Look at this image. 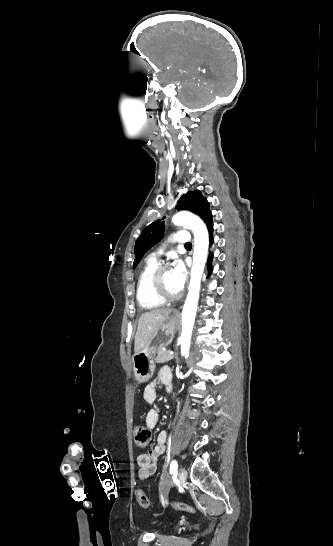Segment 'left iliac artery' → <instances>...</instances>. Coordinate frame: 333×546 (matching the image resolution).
Wrapping results in <instances>:
<instances>
[{"label": "left iliac artery", "mask_w": 333, "mask_h": 546, "mask_svg": "<svg viewBox=\"0 0 333 546\" xmlns=\"http://www.w3.org/2000/svg\"><path fill=\"white\" fill-rule=\"evenodd\" d=\"M178 464L176 460H173L170 465V474H174L177 472Z\"/></svg>", "instance_id": "left-iliac-artery-1"}]
</instances>
